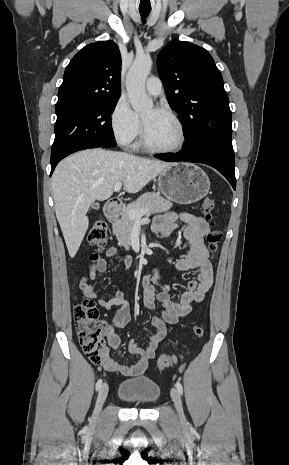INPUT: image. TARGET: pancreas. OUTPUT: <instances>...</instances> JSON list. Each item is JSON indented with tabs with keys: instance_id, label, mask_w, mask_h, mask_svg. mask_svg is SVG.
I'll list each match as a JSON object with an SVG mask.
<instances>
[{
	"instance_id": "cf45deb5",
	"label": "pancreas",
	"mask_w": 289,
	"mask_h": 465,
	"mask_svg": "<svg viewBox=\"0 0 289 465\" xmlns=\"http://www.w3.org/2000/svg\"><path fill=\"white\" fill-rule=\"evenodd\" d=\"M173 204L161 197L157 193H145L132 204H129L121 212V218L113 224V233L118 244L129 250L131 244V233L134 228V221L129 217V210H147L146 216L155 213L167 212Z\"/></svg>"
}]
</instances>
